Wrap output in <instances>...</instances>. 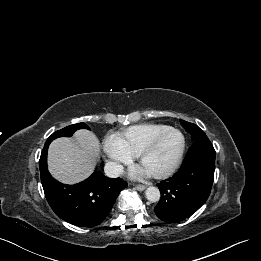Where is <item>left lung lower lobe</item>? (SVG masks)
I'll return each instance as SVG.
<instances>
[{"label":"left lung lower lobe","instance_id":"1","mask_svg":"<svg viewBox=\"0 0 261 261\" xmlns=\"http://www.w3.org/2000/svg\"><path fill=\"white\" fill-rule=\"evenodd\" d=\"M214 170L215 150L205 135L194 141L180 170L157 184L161 192L154 208L157 217L175 223L196 212L210 194Z\"/></svg>","mask_w":261,"mask_h":261}]
</instances>
